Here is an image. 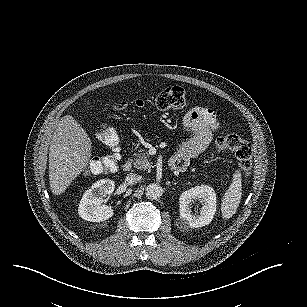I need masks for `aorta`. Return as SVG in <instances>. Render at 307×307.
<instances>
[{"instance_id":"1","label":"aorta","mask_w":307,"mask_h":307,"mask_svg":"<svg viewBox=\"0 0 307 307\" xmlns=\"http://www.w3.org/2000/svg\"><path fill=\"white\" fill-rule=\"evenodd\" d=\"M163 194V189L158 183H151L145 189V195L148 199L157 200Z\"/></svg>"}]
</instances>
